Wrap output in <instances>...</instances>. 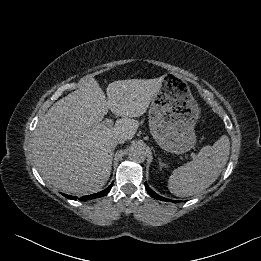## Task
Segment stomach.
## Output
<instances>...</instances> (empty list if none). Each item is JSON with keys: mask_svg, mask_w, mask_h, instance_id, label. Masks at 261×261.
<instances>
[{"mask_svg": "<svg viewBox=\"0 0 261 261\" xmlns=\"http://www.w3.org/2000/svg\"><path fill=\"white\" fill-rule=\"evenodd\" d=\"M161 78L148 112L150 132L162 149L183 154L196 143L199 106L184 78L171 72Z\"/></svg>", "mask_w": 261, "mask_h": 261, "instance_id": "obj_1", "label": "stomach"}]
</instances>
